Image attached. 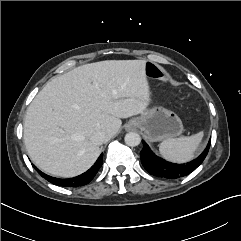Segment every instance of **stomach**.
<instances>
[{
  "label": "stomach",
  "instance_id": "1",
  "mask_svg": "<svg viewBox=\"0 0 241 241\" xmlns=\"http://www.w3.org/2000/svg\"><path fill=\"white\" fill-rule=\"evenodd\" d=\"M127 129L138 128L153 142L178 137L183 132V124L176 113L163 107L145 110L134 117L126 126Z\"/></svg>",
  "mask_w": 241,
  "mask_h": 241
}]
</instances>
